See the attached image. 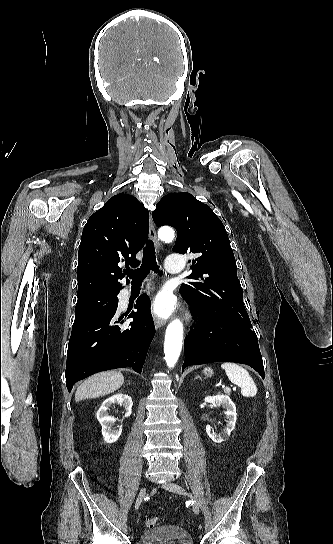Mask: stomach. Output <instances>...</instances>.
<instances>
[{"mask_svg":"<svg viewBox=\"0 0 333 544\" xmlns=\"http://www.w3.org/2000/svg\"><path fill=\"white\" fill-rule=\"evenodd\" d=\"M203 373L207 376V377H211L213 375V370L211 368H205L203 370Z\"/></svg>","mask_w":333,"mask_h":544,"instance_id":"1","label":"stomach"}]
</instances>
